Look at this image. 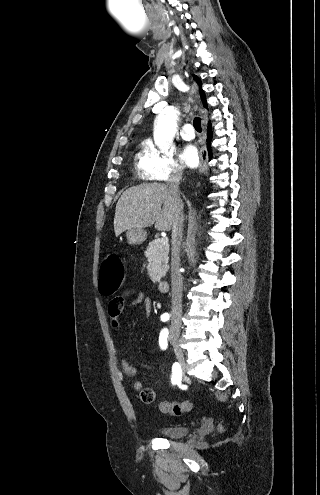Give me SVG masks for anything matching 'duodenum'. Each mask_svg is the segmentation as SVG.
<instances>
[{
  "label": "duodenum",
  "instance_id": "1",
  "mask_svg": "<svg viewBox=\"0 0 320 495\" xmlns=\"http://www.w3.org/2000/svg\"><path fill=\"white\" fill-rule=\"evenodd\" d=\"M158 288L161 292H166L169 289V281L168 280H161L158 283Z\"/></svg>",
  "mask_w": 320,
  "mask_h": 495
}]
</instances>
